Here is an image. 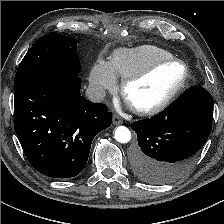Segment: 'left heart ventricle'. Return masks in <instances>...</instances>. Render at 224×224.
I'll use <instances>...</instances> for the list:
<instances>
[{
	"instance_id": "1",
	"label": "left heart ventricle",
	"mask_w": 224,
	"mask_h": 224,
	"mask_svg": "<svg viewBox=\"0 0 224 224\" xmlns=\"http://www.w3.org/2000/svg\"><path fill=\"white\" fill-rule=\"evenodd\" d=\"M183 73V67L178 63L159 67L148 77L129 87L130 104L139 108H149L158 104L179 84Z\"/></svg>"
}]
</instances>
